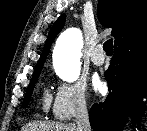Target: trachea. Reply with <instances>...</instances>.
I'll return each mask as SVG.
<instances>
[{"label": "trachea", "instance_id": "1", "mask_svg": "<svg viewBox=\"0 0 147 131\" xmlns=\"http://www.w3.org/2000/svg\"><path fill=\"white\" fill-rule=\"evenodd\" d=\"M103 49L107 54H111L113 53V39H109L107 40L104 44H103Z\"/></svg>", "mask_w": 147, "mask_h": 131}]
</instances>
